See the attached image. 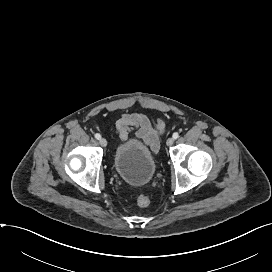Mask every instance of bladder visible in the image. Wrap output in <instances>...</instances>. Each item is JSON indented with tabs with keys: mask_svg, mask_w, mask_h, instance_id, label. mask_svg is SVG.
<instances>
[{
	"mask_svg": "<svg viewBox=\"0 0 272 272\" xmlns=\"http://www.w3.org/2000/svg\"><path fill=\"white\" fill-rule=\"evenodd\" d=\"M113 166L122 180L131 185L142 186L153 178L156 159L145 145L130 139L116 148Z\"/></svg>",
	"mask_w": 272,
	"mask_h": 272,
	"instance_id": "1",
	"label": "bladder"
}]
</instances>
